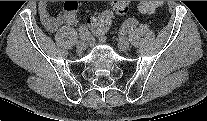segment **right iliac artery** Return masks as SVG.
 Wrapping results in <instances>:
<instances>
[{"label":"right iliac artery","instance_id":"obj_1","mask_svg":"<svg viewBox=\"0 0 207 121\" xmlns=\"http://www.w3.org/2000/svg\"><path fill=\"white\" fill-rule=\"evenodd\" d=\"M79 34H80V37L83 39V40H87L88 37H89V32L87 30V28L85 26H81L80 29H79Z\"/></svg>","mask_w":207,"mask_h":121}]
</instances>
